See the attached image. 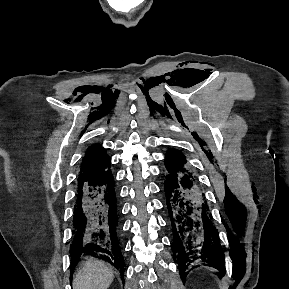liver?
<instances>
[{
    "instance_id": "obj_1",
    "label": "liver",
    "mask_w": 289,
    "mask_h": 289,
    "mask_svg": "<svg viewBox=\"0 0 289 289\" xmlns=\"http://www.w3.org/2000/svg\"><path fill=\"white\" fill-rule=\"evenodd\" d=\"M113 281V270L105 262L89 259L73 279V289H107Z\"/></svg>"
}]
</instances>
